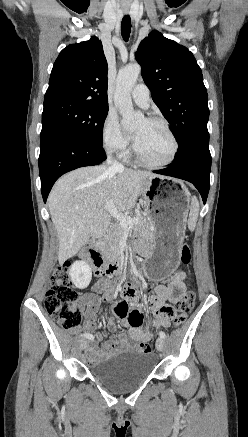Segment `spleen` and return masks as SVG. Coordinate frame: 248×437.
Masks as SVG:
<instances>
[{
    "instance_id": "3e777b00",
    "label": "spleen",
    "mask_w": 248,
    "mask_h": 437,
    "mask_svg": "<svg viewBox=\"0 0 248 437\" xmlns=\"http://www.w3.org/2000/svg\"><path fill=\"white\" fill-rule=\"evenodd\" d=\"M199 215V202L194 196L191 201L190 213L188 218V228L190 231H194L196 227V222Z\"/></svg>"
}]
</instances>
